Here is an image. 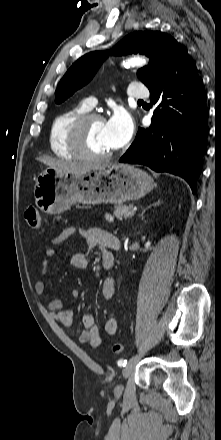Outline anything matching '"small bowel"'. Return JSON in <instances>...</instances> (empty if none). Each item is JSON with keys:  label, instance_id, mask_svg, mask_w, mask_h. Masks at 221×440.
Listing matches in <instances>:
<instances>
[{"label": "small bowel", "instance_id": "obj_1", "mask_svg": "<svg viewBox=\"0 0 221 440\" xmlns=\"http://www.w3.org/2000/svg\"><path fill=\"white\" fill-rule=\"evenodd\" d=\"M79 231L85 243L86 251L76 252L71 257V265L77 269H84L88 266L87 252L98 248L102 254L103 263L107 258H113V255L108 251L111 248L110 243L115 237L101 229H78L70 227L63 230L57 237L53 238V244H60L66 240L70 235ZM55 255L54 248H48L45 251V257L41 264L42 275L48 277L50 274V259ZM114 259V258H113ZM35 291L39 295H43L46 291L45 283L38 281L35 283ZM115 292V282L113 278L108 277L104 280L101 286V297L105 301L112 299ZM72 296L77 298L79 296L78 290L72 291ZM48 308L52 317L66 328H71L73 325L74 310L70 307H65L63 302L59 299H52L48 302ZM82 324L84 330L79 334V341L88 344L91 348H97L102 344V336L99 328L95 325V317L91 313H87L82 317ZM105 332L108 335H114L117 331V320L110 316L104 326Z\"/></svg>", "mask_w": 221, "mask_h": 440}]
</instances>
